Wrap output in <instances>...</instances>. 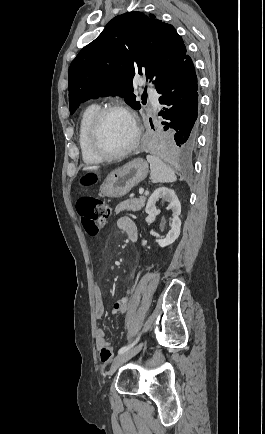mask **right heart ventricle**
<instances>
[{
    "instance_id": "right-heart-ventricle-1",
    "label": "right heart ventricle",
    "mask_w": 265,
    "mask_h": 434,
    "mask_svg": "<svg viewBox=\"0 0 265 434\" xmlns=\"http://www.w3.org/2000/svg\"><path fill=\"white\" fill-rule=\"evenodd\" d=\"M99 109L97 103H91L83 109L79 118L77 143L81 160L86 166H95L103 162V158L95 152L90 142L92 122Z\"/></svg>"
}]
</instances>
